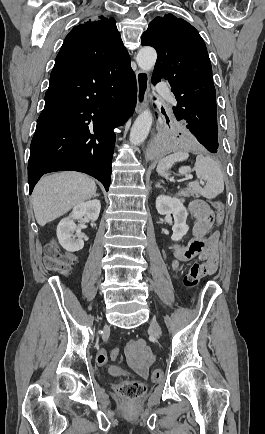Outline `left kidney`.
I'll use <instances>...</instances> for the list:
<instances>
[{
	"label": "left kidney",
	"instance_id": "1",
	"mask_svg": "<svg viewBox=\"0 0 265 434\" xmlns=\"http://www.w3.org/2000/svg\"><path fill=\"white\" fill-rule=\"evenodd\" d=\"M156 210L161 216L173 214L174 226H172L173 234L171 240L173 242L182 240L189 230V226L186 224L188 212L182 202L177 200V198H170V196H158L156 198Z\"/></svg>",
	"mask_w": 265,
	"mask_h": 434
}]
</instances>
